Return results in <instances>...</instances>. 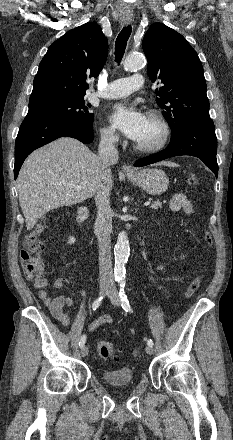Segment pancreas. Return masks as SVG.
I'll return each mask as SVG.
<instances>
[{"label": "pancreas", "mask_w": 233, "mask_h": 440, "mask_svg": "<svg viewBox=\"0 0 233 440\" xmlns=\"http://www.w3.org/2000/svg\"><path fill=\"white\" fill-rule=\"evenodd\" d=\"M150 208L158 210L159 208H162V203L159 200H157L150 206Z\"/></svg>", "instance_id": "obj_1"}]
</instances>
